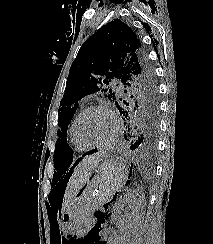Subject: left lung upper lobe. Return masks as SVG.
<instances>
[{
	"instance_id": "1",
	"label": "left lung upper lobe",
	"mask_w": 213,
	"mask_h": 244,
	"mask_svg": "<svg viewBox=\"0 0 213 244\" xmlns=\"http://www.w3.org/2000/svg\"><path fill=\"white\" fill-rule=\"evenodd\" d=\"M90 94L115 102L120 113L132 118L158 120L157 84L141 43L120 19L107 23L89 37L73 61L60 102L54 166L66 170L73 153L66 134L78 101ZM119 104H125L122 109Z\"/></svg>"
}]
</instances>
